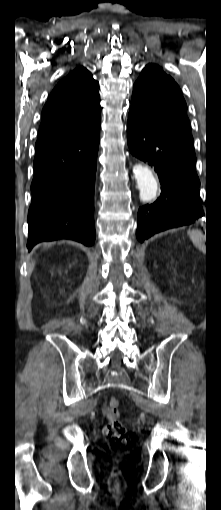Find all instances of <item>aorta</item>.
Instances as JSON below:
<instances>
[{
  "instance_id": "1",
  "label": "aorta",
  "mask_w": 221,
  "mask_h": 510,
  "mask_svg": "<svg viewBox=\"0 0 221 510\" xmlns=\"http://www.w3.org/2000/svg\"><path fill=\"white\" fill-rule=\"evenodd\" d=\"M133 173L140 191V199L144 202L153 200L156 197L158 185L151 170L138 164L133 167Z\"/></svg>"
}]
</instances>
